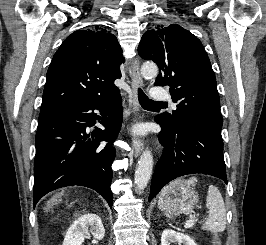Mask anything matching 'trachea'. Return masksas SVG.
<instances>
[{"label":"trachea","instance_id":"1","mask_svg":"<svg viewBox=\"0 0 266 245\" xmlns=\"http://www.w3.org/2000/svg\"><path fill=\"white\" fill-rule=\"evenodd\" d=\"M138 100L140 102L141 105H162L165 102H156L154 100H151L150 98L147 97V95H145V93L141 90L138 89Z\"/></svg>","mask_w":266,"mask_h":245}]
</instances>
